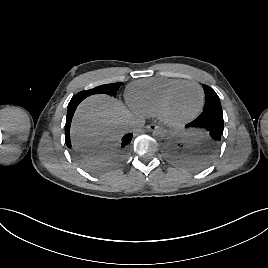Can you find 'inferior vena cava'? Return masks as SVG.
<instances>
[{"label": "inferior vena cava", "instance_id": "602c4592", "mask_svg": "<svg viewBox=\"0 0 268 268\" xmlns=\"http://www.w3.org/2000/svg\"><path fill=\"white\" fill-rule=\"evenodd\" d=\"M135 123H136V120L131 118V120L127 123V129L128 130L132 129Z\"/></svg>", "mask_w": 268, "mask_h": 268}]
</instances>
